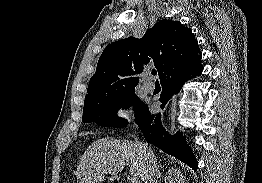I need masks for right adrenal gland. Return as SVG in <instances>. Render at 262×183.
Instances as JSON below:
<instances>
[{
  "mask_svg": "<svg viewBox=\"0 0 262 183\" xmlns=\"http://www.w3.org/2000/svg\"><path fill=\"white\" fill-rule=\"evenodd\" d=\"M161 176H162V173L160 171V165L158 164L157 174H156V182L155 183H158V181L160 180Z\"/></svg>",
  "mask_w": 262,
  "mask_h": 183,
  "instance_id": "1",
  "label": "right adrenal gland"
}]
</instances>
